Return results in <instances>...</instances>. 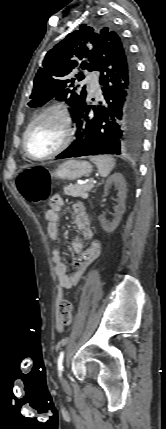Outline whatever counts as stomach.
I'll return each mask as SVG.
<instances>
[{
  "label": "stomach",
  "instance_id": "0dacf381",
  "mask_svg": "<svg viewBox=\"0 0 166 429\" xmlns=\"http://www.w3.org/2000/svg\"><path fill=\"white\" fill-rule=\"evenodd\" d=\"M92 170L93 166L87 161L68 160L59 165L52 175L62 180H76Z\"/></svg>",
  "mask_w": 166,
  "mask_h": 429
}]
</instances>
